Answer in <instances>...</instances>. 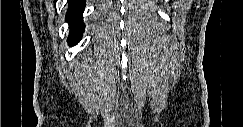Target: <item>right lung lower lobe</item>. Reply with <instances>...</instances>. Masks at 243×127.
Here are the masks:
<instances>
[{
    "mask_svg": "<svg viewBox=\"0 0 243 127\" xmlns=\"http://www.w3.org/2000/svg\"><path fill=\"white\" fill-rule=\"evenodd\" d=\"M69 7L65 16L71 30L68 36L69 46H73L79 42L85 30V24L82 20L83 11L85 8V0H69Z\"/></svg>",
    "mask_w": 243,
    "mask_h": 127,
    "instance_id": "right-lung-lower-lobe-1",
    "label": "right lung lower lobe"
}]
</instances>
